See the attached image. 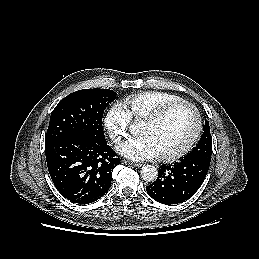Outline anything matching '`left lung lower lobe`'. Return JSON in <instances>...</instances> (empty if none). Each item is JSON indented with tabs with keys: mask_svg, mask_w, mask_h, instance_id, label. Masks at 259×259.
<instances>
[{
	"mask_svg": "<svg viewBox=\"0 0 259 259\" xmlns=\"http://www.w3.org/2000/svg\"><path fill=\"white\" fill-rule=\"evenodd\" d=\"M210 162L184 156L173 165H163L158 178L146 187L148 195L157 202L178 204L192 197L203 183Z\"/></svg>",
	"mask_w": 259,
	"mask_h": 259,
	"instance_id": "1",
	"label": "left lung lower lobe"
}]
</instances>
